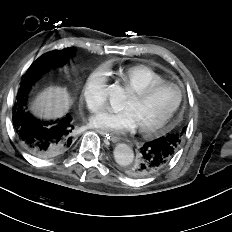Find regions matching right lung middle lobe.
Segmentation results:
<instances>
[{
  "instance_id": "1",
  "label": "right lung middle lobe",
  "mask_w": 232,
  "mask_h": 232,
  "mask_svg": "<svg viewBox=\"0 0 232 232\" xmlns=\"http://www.w3.org/2000/svg\"><path fill=\"white\" fill-rule=\"evenodd\" d=\"M73 56V49L50 51L40 56L22 76L20 87L32 86L50 68L63 66ZM66 59V60H64Z\"/></svg>"
}]
</instances>
